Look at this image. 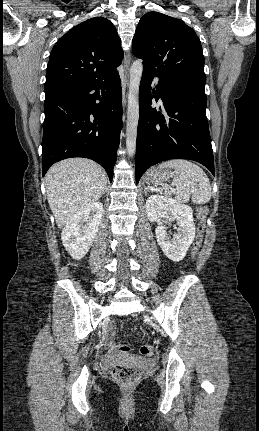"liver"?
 <instances>
[{"mask_svg":"<svg viewBox=\"0 0 259 431\" xmlns=\"http://www.w3.org/2000/svg\"><path fill=\"white\" fill-rule=\"evenodd\" d=\"M45 184L50 209L62 228L77 212L99 200L106 187V173L92 160L71 158L53 165Z\"/></svg>","mask_w":259,"mask_h":431,"instance_id":"liver-1","label":"liver"}]
</instances>
